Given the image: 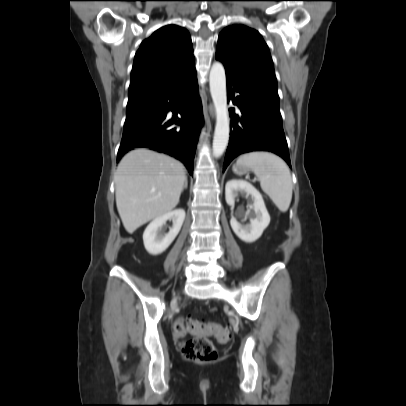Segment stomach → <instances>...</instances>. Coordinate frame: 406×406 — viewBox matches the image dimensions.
Listing matches in <instances>:
<instances>
[{
	"instance_id": "stomach-1",
	"label": "stomach",
	"mask_w": 406,
	"mask_h": 406,
	"mask_svg": "<svg viewBox=\"0 0 406 406\" xmlns=\"http://www.w3.org/2000/svg\"><path fill=\"white\" fill-rule=\"evenodd\" d=\"M233 172L237 175H244L247 174L250 171V168L244 164H239L236 163L235 165H233L232 167Z\"/></svg>"
}]
</instances>
